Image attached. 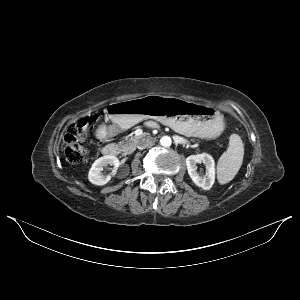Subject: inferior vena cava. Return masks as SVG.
I'll use <instances>...</instances> for the list:
<instances>
[{
	"mask_svg": "<svg viewBox=\"0 0 300 300\" xmlns=\"http://www.w3.org/2000/svg\"><path fill=\"white\" fill-rule=\"evenodd\" d=\"M153 144H154L153 138H151V137H144L141 140H139L137 148L140 149V150H142V149H145L148 146L153 145Z\"/></svg>",
	"mask_w": 300,
	"mask_h": 300,
	"instance_id": "obj_1",
	"label": "inferior vena cava"
}]
</instances>
